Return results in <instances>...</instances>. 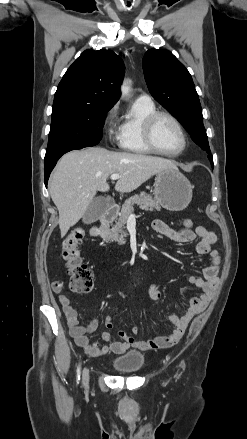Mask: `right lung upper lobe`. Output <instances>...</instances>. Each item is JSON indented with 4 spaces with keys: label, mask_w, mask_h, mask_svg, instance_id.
I'll return each mask as SVG.
<instances>
[{
    "label": "right lung upper lobe",
    "mask_w": 247,
    "mask_h": 439,
    "mask_svg": "<svg viewBox=\"0 0 247 439\" xmlns=\"http://www.w3.org/2000/svg\"><path fill=\"white\" fill-rule=\"evenodd\" d=\"M125 66L111 50L87 49L68 68L55 93L53 107L80 105L113 107Z\"/></svg>",
    "instance_id": "right-lung-upper-lobe-1"
}]
</instances>
